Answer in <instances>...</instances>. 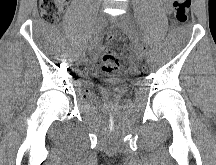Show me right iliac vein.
I'll return each mask as SVG.
<instances>
[{"mask_svg":"<svg viewBox=\"0 0 216 165\" xmlns=\"http://www.w3.org/2000/svg\"><path fill=\"white\" fill-rule=\"evenodd\" d=\"M105 21H106V17L103 13H101L97 19L96 26H95L93 33H92V36H91L89 51H92L95 43L99 39L101 32H102V28L105 24Z\"/></svg>","mask_w":216,"mask_h":165,"instance_id":"63e3f726","label":"right iliac vein"}]
</instances>
